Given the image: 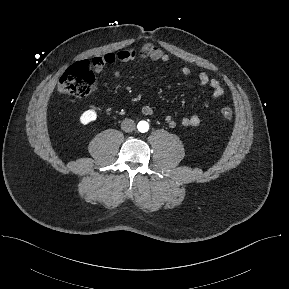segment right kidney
<instances>
[{"instance_id":"1","label":"right kidney","mask_w":289,"mask_h":289,"mask_svg":"<svg viewBox=\"0 0 289 289\" xmlns=\"http://www.w3.org/2000/svg\"><path fill=\"white\" fill-rule=\"evenodd\" d=\"M97 119V113L94 110H87L80 116V122L83 125H87Z\"/></svg>"}]
</instances>
